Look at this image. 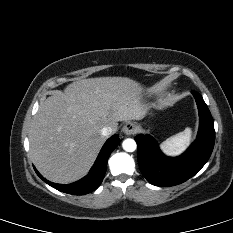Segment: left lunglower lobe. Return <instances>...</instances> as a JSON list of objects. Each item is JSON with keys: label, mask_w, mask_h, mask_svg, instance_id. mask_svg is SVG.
<instances>
[{"label": "left lung lower lobe", "mask_w": 233, "mask_h": 233, "mask_svg": "<svg viewBox=\"0 0 233 233\" xmlns=\"http://www.w3.org/2000/svg\"><path fill=\"white\" fill-rule=\"evenodd\" d=\"M200 116L196 141L179 157H166L149 135H137L139 168L152 185L174 186L193 177L208 161L215 142L214 122L202 96L192 91Z\"/></svg>", "instance_id": "1"}]
</instances>
